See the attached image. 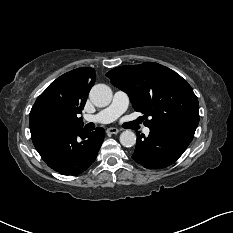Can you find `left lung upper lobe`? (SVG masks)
<instances>
[{
  "label": "left lung upper lobe",
  "mask_w": 233,
  "mask_h": 233,
  "mask_svg": "<svg viewBox=\"0 0 233 233\" xmlns=\"http://www.w3.org/2000/svg\"><path fill=\"white\" fill-rule=\"evenodd\" d=\"M111 83L126 92L136 111L150 120L149 129H181L195 133L199 103L191 86L176 72L154 62L121 66L107 74Z\"/></svg>",
  "instance_id": "1"
}]
</instances>
